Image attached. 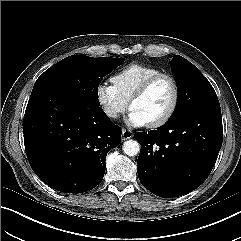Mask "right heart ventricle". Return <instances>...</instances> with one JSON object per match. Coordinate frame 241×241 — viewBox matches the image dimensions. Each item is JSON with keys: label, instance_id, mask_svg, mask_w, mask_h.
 I'll return each instance as SVG.
<instances>
[{"label": "right heart ventricle", "instance_id": "e07e8e85", "mask_svg": "<svg viewBox=\"0 0 241 241\" xmlns=\"http://www.w3.org/2000/svg\"><path fill=\"white\" fill-rule=\"evenodd\" d=\"M158 73H161V71L156 67L131 63L116 72L111 77V81L120 95L126 101H129L131 95L144 81Z\"/></svg>", "mask_w": 241, "mask_h": 241}]
</instances>
